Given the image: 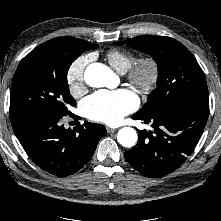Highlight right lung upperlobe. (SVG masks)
Returning <instances> with one entry per match:
<instances>
[{
  "label": "right lung upper lobe",
  "mask_w": 221,
  "mask_h": 221,
  "mask_svg": "<svg viewBox=\"0 0 221 221\" xmlns=\"http://www.w3.org/2000/svg\"><path fill=\"white\" fill-rule=\"evenodd\" d=\"M62 38H68V39L72 40L73 42H75L76 44H78V45H80V46H89V45H90L89 42L84 41V40H82V39H77V38H73V37H69V36H67V37H62Z\"/></svg>",
  "instance_id": "cb5924a9"
}]
</instances>
